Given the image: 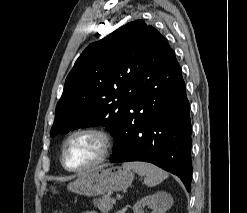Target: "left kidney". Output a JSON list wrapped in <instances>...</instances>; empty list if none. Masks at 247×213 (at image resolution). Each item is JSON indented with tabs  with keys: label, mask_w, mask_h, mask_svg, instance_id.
Masks as SVG:
<instances>
[{
	"label": "left kidney",
	"mask_w": 247,
	"mask_h": 213,
	"mask_svg": "<svg viewBox=\"0 0 247 213\" xmlns=\"http://www.w3.org/2000/svg\"><path fill=\"white\" fill-rule=\"evenodd\" d=\"M165 195L157 193L145 196L133 206L134 213H144V207L148 206L152 209L151 213H163V200Z\"/></svg>",
	"instance_id": "obj_1"
}]
</instances>
